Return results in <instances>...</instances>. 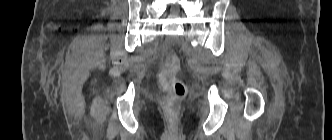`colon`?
<instances>
[{"label": "colon", "mask_w": 332, "mask_h": 140, "mask_svg": "<svg viewBox=\"0 0 332 140\" xmlns=\"http://www.w3.org/2000/svg\"><path fill=\"white\" fill-rule=\"evenodd\" d=\"M180 61L177 55L169 54L158 74V83L163 91L161 106L170 124H174L177 118L179 105L186 94V87L176 74Z\"/></svg>", "instance_id": "1"}]
</instances>
